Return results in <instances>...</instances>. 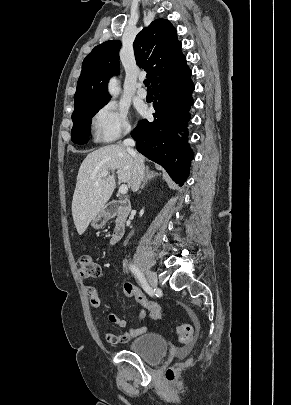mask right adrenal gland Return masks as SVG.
<instances>
[{"instance_id":"1","label":"right adrenal gland","mask_w":291,"mask_h":405,"mask_svg":"<svg viewBox=\"0 0 291 405\" xmlns=\"http://www.w3.org/2000/svg\"><path fill=\"white\" fill-rule=\"evenodd\" d=\"M157 176H159V173H157V172H155V171H151L150 168L147 166V167H146V175H145V178H144V180H143V183H142L140 189H141V190L144 189V187H145L146 183L148 182V180H151V179H153V178H156ZM140 192H141V191H139V193H140Z\"/></svg>"}]
</instances>
